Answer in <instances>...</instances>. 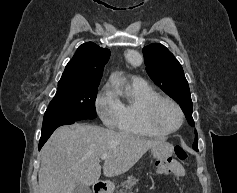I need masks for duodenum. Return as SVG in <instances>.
<instances>
[{
    "label": "duodenum",
    "instance_id": "1",
    "mask_svg": "<svg viewBox=\"0 0 237 193\" xmlns=\"http://www.w3.org/2000/svg\"><path fill=\"white\" fill-rule=\"evenodd\" d=\"M94 193H106L107 192V184L104 181H97L93 187Z\"/></svg>",
    "mask_w": 237,
    "mask_h": 193
}]
</instances>
